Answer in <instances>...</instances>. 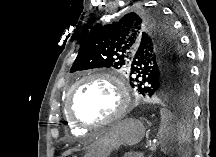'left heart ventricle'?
<instances>
[{
  "mask_svg": "<svg viewBox=\"0 0 216 157\" xmlns=\"http://www.w3.org/2000/svg\"><path fill=\"white\" fill-rule=\"evenodd\" d=\"M72 107L74 114L84 121L103 120L117 107V91L102 80L86 81L74 90Z\"/></svg>",
  "mask_w": 216,
  "mask_h": 157,
  "instance_id": "b2bd125f",
  "label": "left heart ventricle"
}]
</instances>
